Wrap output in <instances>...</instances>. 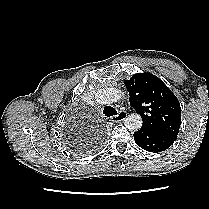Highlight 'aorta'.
Listing matches in <instances>:
<instances>
[{
  "mask_svg": "<svg viewBox=\"0 0 209 209\" xmlns=\"http://www.w3.org/2000/svg\"><path fill=\"white\" fill-rule=\"evenodd\" d=\"M122 97V92L116 88H103L100 89L96 95V100L101 104H110L116 102ZM142 118L139 114L133 113L126 117L125 126L130 131H138L142 126Z\"/></svg>",
  "mask_w": 209,
  "mask_h": 209,
  "instance_id": "obj_1",
  "label": "aorta"
}]
</instances>
